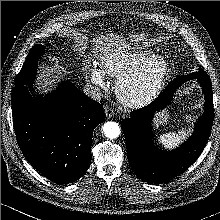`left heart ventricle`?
I'll list each match as a JSON object with an SVG mask.
<instances>
[{
	"label": "left heart ventricle",
	"mask_w": 220,
	"mask_h": 220,
	"mask_svg": "<svg viewBox=\"0 0 220 220\" xmlns=\"http://www.w3.org/2000/svg\"><path fill=\"white\" fill-rule=\"evenodd\" d=\"M142 86V83H136L132 86L131 90L132 92H138L141 90Z\"/></svg>",
	"instance_id": "obj_1"
}]
</instances>
